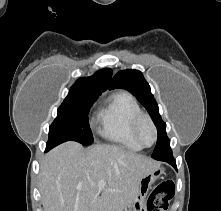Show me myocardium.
<instances>
[{
    "label": "myocardium",
    "instance_id": "f54148a6",
    "mask_svg": "<svg viewBox=\"0 0 221 211\" xmlns=\"http://www.w3.org/2000/svg\"><path fill=\"white\" fill-rule=\"evenodd\" d=\"M144 122H147L151 126V128L154 132V140L149 145H147L143 142L141 135H140V129H141V126ZM132 134H133V137L135 138V140L143 148H148V147L153 146L157 142V139H158V130H157L156 124L154 123L153 119L147 113H144V112H141L134 117V119L132 121Z\"/></svg>",
    "mask_w": 221,
    "mask_h": 211
}]
</instances>
